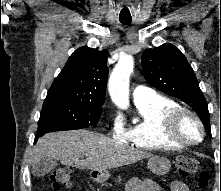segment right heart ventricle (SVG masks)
<instances>
[{"instance_id": "1", "label": "right heart ventricle", "mask_w": 221, "mask_h": 191, "mask_svg": "<svg viewBox=\"0 0 221 191\" xmlns=\"http://www.w3.org/2000/svg\"><path fill=\"white\" fill-rule=\"evenodd\" d=\"M139 119L126 129V140L133 146L146 150L185 147L170 141L163 131L165 114L179 107L172 99L156 95L152 100L135 104Z\"/></svg>"}]
</instances>
